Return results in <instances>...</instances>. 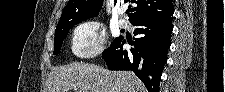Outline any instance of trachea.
Masks as SVG:
<instances>
[{"instance_id":"3493384b","label":"trachea","mask_w":225,"mask_h":92,"mask_svg":"<svg viewBox=\"0 0 225 92\" xmlns=\"http://www.w3.org/2000/svg\"><path fill=\"white\" fill-rule=\"evenodd\" d=\"M130 11H131V10H130V9H128V10L126 11V13H127V14H129V13H130Z\"/></svg>"}]
</instances>
